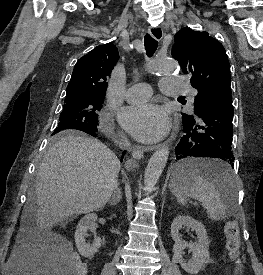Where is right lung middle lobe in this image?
<instances>
[{
    "label": "right lung middle lobe",
    "instance_id": "dd1d6c3e",
    "mask_svg": "<svg viewBox=\"0 0 263 275\" xmlns=\"http://www.w3.org/2000/svg\"><path fill=\"white\" fill-rule=\"evenodd\" d=\"M103 96L79 95L66 98L59 123L53 132V141H58L67 130L97 131V111L102 108Z\"/></svg>",
    "mask_w": 263,
    "mask_h": 275
}]
</instances>
